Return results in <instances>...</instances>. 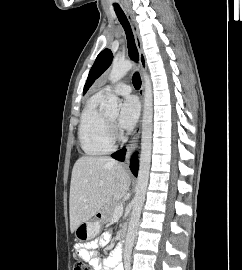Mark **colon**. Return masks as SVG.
I'll list each match as a JSON object with an SVG mask.
<instances>
[{"label": "colon", "mask_w": 242, "mask_h": 270, "mask_svg": "<svg viewBox=\"0 0 242 270\" xmlns=\"http://www.w3.org/2000/svg\"><path fill=\"white\" fill-rule=\"evenodd\" d=\"M74 270H92V268L82 262H77L74 265Z\"/></svg>", "instance_id": "1"}]
</instances>
